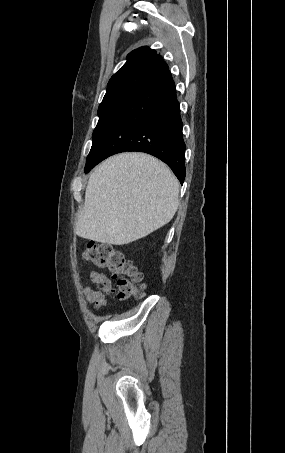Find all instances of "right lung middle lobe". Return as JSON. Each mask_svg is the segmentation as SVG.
<instances>
[{
	"mask_svg": "<svg viewBox=\"0 0 285 453\" xmlns=\"http://www.w3.org/2000/svg\"><path fill=\"white\" fill-rule=\"evenodd\" d=\"M131 95H124L112 100L106 101L101 103L98 109V116L99 121L97 126L93 131L92 136V147L90 153L86 160L87 167L90 162L92 161L95 152L97 151L98 147L100 146L103 137L105 136L106 132L108 131L110 125L112 124L114 118L116 117L117 113L121 109V107L125 104V102L129 99Z\"/></svg>",
	"mask_w": 285,
	"mask_h": 453,
	"instance_id": "obj_1",
	"label": "right lung middle lobe"
}]
</instances>
